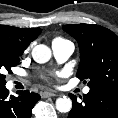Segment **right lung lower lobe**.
<instances>
[{
	"instance_id": "1",
	"label": "right lung lower lobe",
	"mask_w": 118,
	"mask_h": 118,
	"mask_svg": "<svg viewBox=\"0 0 118 118\" xmlns=\"http://www.w3.org/2000/svg\"><path fill=\"white\" fill-rule=\"evenodd\" d=\"M9 94L5 86L0 87V118H30L32 108L40 100V95L26 91Z\"/></svg>"
}]
</instances>
